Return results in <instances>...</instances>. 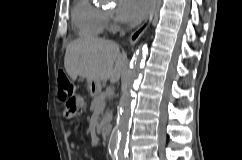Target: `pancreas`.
I'll list each match as a JSON object with an SVG mask.
<instances>
[{
    "mask_svg": "<svg viewBox=\"0 0 242 160\" xmlns=\"http://www.w3.org/2000/svg\"><path fill=\"white\" fill-rule=\"evenodd\" d=\"M106 97H107L106 93H100V94L96 95L93 98V101L90 106V110L91 111L99 110L100 112H102L105 108ZM109 121H110V116L108 114L103 116V118L99 124V128H101L104 124L108 123Z\"/></svg>",
    "mask_w": 242,
    "mask_h": 160,
    "instance_id": "cf45deb5",
    "label": "pancreas"
}]
</instances>
